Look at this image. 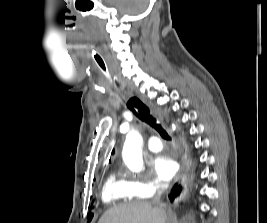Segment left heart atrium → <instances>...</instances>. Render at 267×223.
I'll use <instances>...</instances> for the list:
<instances>
[{"label":"left heart atrium","instance_id":"39dd6f15","mask_svg":"<svg viewBox=\"0 0 267 223\" xmlns=\"http://www.w3.org/2000/svg\"><path fill=\"white\" fill-rule=\"evenodd\" d=\"M154 173L158 180L168 181L177 171V163L172 156L159 155L152 162Z\"/></svg>","mask_w":267,"mask_h":223}]
</instances>
